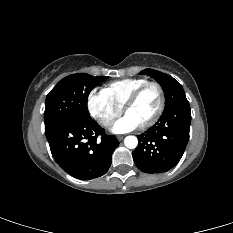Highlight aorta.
Listing matches in <instances>:
<instances>
[{"instance_id": "762f6f07", "label": "aorta", "mask_w": 233, "mask_h": 233, "mask_svg": "<svg viewBox=\"0 0 233 233\" xmlns=\"http://www.w3.org/2000/svg\"><path fill=\"white\" fill-rule=\"evenodd\" d=\"M124 144L129 149H134L138 145V139L135 136H127L124 139Z\"/></svg>"}]
</instances>
